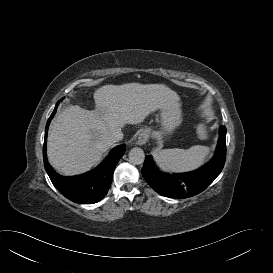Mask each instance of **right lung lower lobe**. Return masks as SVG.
<instances>
[{
  "mask_svg": "<svg viewBox=\"0 0 273 273\" xmlns=\"http://www.w3.org/2000/svg\"><path fill=\"white\" fill-rule=\"evenodd\" d=\"M59 101L47 121L43 145L44 167L56 189L69 200L79 204H93L103 199L112 182L114 169L124 155L126 146L115 147L104 162L94 170L73 176H61L47 162L46 142L49 124L56 113Z\"/></svg>",
  "mask_w": 273,
  "mask_h": 273,
  "instance_id": "obj_1",
  "label": "right lung lower lobe"
}]
</instances>
